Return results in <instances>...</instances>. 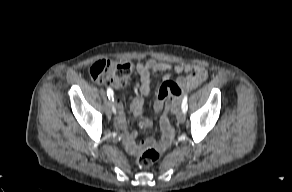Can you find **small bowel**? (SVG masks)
Listing matches in <instances>:
<instances>
[{
  "instance_id": "c3829d8e",
  "label": "small bowel",
  "mask_w": 292,
  "mask_h": 192,
  "mask_svg": "<svg viewBox=\"0 0 292 192\" xmlns=\"http://www.w3.org/2000/svg\"><path fill=\"white\" fill-rule=\"evenodd\" d=\"M136 70L140 76V93L147 95L150 91L152 76L155 73L164 72L163 80L160 83L157 93V99L154 103L153 110L156 114H159V125L162 131V137L158 143L160 149H165L171 142L174 136V129L168 119L169 114L175 113L178 109L179 98L182 91L186 88H193L201 84L207 78V70L205 66L200 64H177L172 65L170 63L157 61L156 59H149L145 62H138ZM170 71H174L177 74L188 73L187 76H179L176 81H171ZM166 106H164V102ZM117 107L120 112V116L116 120V127L120 133L126 150L133 155H137L148 146L155 145L153 140H146L138 144L136 142L137 132H129L125 116L122 112V104L118 100ZM131 111L134 115L139 116L143 111V100L141 97H135L131 102ZM141 126L145 129L151 127L152 123L143 119Z\"/></svg>"
}]
</instances>
